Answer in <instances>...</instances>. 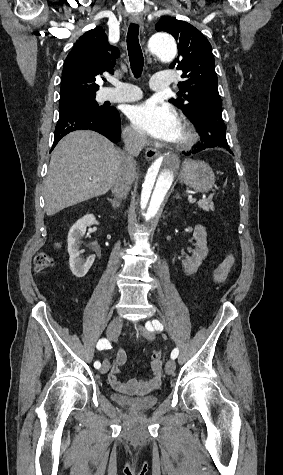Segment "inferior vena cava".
<instances>
[{
    "label": "inferior vena cava",
    "instance_id": "inferior-vena-cava-1",
    "mask_svg": "<svg viewBox=\"0 0 283 475\" xmlns=\"http://www.w3.org/2000/svg\"><path fill=\"white\" fill-rule=\"evenodd\" d=\"M147 136L144 132H129L124 140V150L120 154L116 170L112 192L117 198L127 196L130 186L136 174V162L134 158L139 156L146 146Z\"/></svg>",
    "mask_w": 283,
    "mask_h": 475
}]
</instances>
